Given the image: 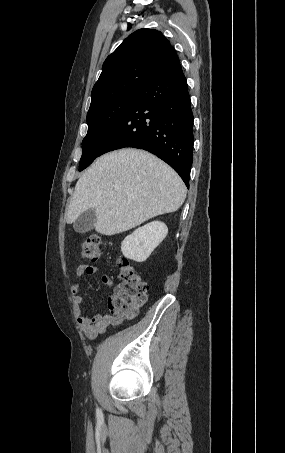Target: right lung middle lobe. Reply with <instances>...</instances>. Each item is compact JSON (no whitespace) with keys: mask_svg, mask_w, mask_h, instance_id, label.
I'll return each mask as SVG.
<instances>
[{"mask_svg":"<svg viewBox=\"0 0 285 453\" xmlns=\"http://www.w3.org/2000/svg\"><path fill=\"white\" fill-rule=\"evenodd\" d=\"M138 96L139 91L128 92L89 109L88 132L82 141L83 154L79 171L88 167L101 155L103 146Z\"/></svg>","mask_w":285,"mask_h":453,"instance_id":"obj_1","label":"right lung middle lobe"}]
</instances>
